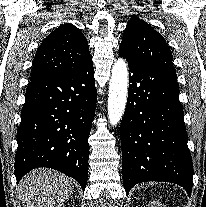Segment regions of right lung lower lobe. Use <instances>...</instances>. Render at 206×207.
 I'll return each mask as SVG.
<instances>
[{"instance_id":"98d812e1","label":"right lung lower lobe","mask_w":206,"mask_h":207,"mask_svg":"<svg viewBox=\"0 0 206 207\" xmlns=\"http://www.w3.org/2000/svg\"><path fill=\"white\" fill-rule=\"evenodd\" d=\"M93 75L90 61L68 75L29 83L17 132V182L30 170L47 167L73 177L85 190L97 97Z\"/></svg>"}]
</instances>
